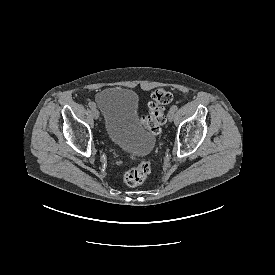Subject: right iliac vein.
<instances>
[{"label":"right iliac vein","mask_w":275,"mask_h":275,"mask_svg":"<svg viewBox=\"0 0 275 275\" xmlns=\"http://www.w3.org/2000/svg\"><path fill=\"white\" fill-rule=\"evenodd\" d=\"M92 116L95 118V119H98L99 118V111L94 107L92 109Z\"/></svg>","instance_id":"1"}]
</instances>
